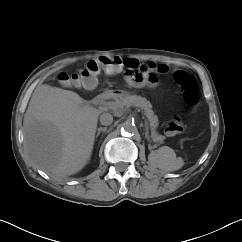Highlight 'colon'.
Wrapping results in <instances>:
<instances>
[{
  "mask_svg": "<svg viewBox=\"0 0 242 242\" xmlns=\"http://www.w3.org/2000/svg\"><path fill=\"white\" fill-rule=\"evenodd\" d=\"M123 71L128 76V82L132 85H145L156 80V72L165 73L168 67L153 63H141L131 58L108 55L89 61L86 65L74 73L63 72L59 74V81L66 85L93 86L95 76L101 72ZM174 79L183 90V97L187 104L195 105L198 100V90L193 78L182 71L174 73ZM184 128L181 120L170 121L166 127L168 135L180 133Z\"/></svg>",
  "mask_w": 242,
  "mask_h": 242,
  "instance_id": "obj_1",
  "label": "colon"
}]
</instances>
